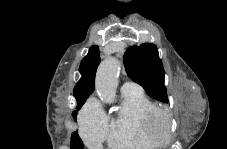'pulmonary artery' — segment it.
<instances>
[{"label": "pulmonary artery", "mask_w": 227, "mask_h": 149, "mask_svg": "<svg viewBox=\"0 0 227 149\" xmlns=\"http://www.w3.org/2000/svg\"><path fill=\"white\" fill-rule=\"evenodd\" d=\"M137 90H141L139 86H137L136 84L126 81L123 83L122 87H121V91L122 92H126V91H137Z\"/></svg>", "instance_id": "obj_1"}]
</instances>
